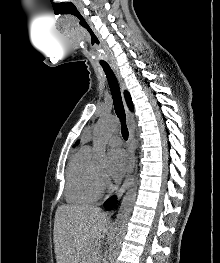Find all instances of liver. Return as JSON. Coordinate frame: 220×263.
Returning <instances> with one entry per match:
<instances>
[{
    "label": "liver",
    "mask_w": 220,
    "mask_h": 263,
    "mask_svg": "<svg viewBox=\"0 0 220 263\" xmlns=\"http://www.w3.org/2000/svg\"><path fill=\"white\" fill-rule=\"evenodd\" d=\"M107 215L97 206L61 205L54 220L57 263H93L91 251L108 231Z\"/></svg>",
    "instance_id": "liver-1"
}]
</instances>
